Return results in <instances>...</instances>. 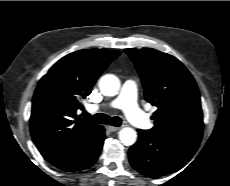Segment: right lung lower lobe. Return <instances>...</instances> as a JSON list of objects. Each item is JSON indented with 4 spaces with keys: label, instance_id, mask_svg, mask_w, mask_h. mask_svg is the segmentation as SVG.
<instances>
[{
    "label": "right lung lower lobe",
    "instance_id": "98d812e1",
    "mask_svg": "<svg viewBox=\"0 0 230 186\" xmlns=\"http://www.w3.org/2000/svg\"><path fill=\"white\" fill-rule=\"evenodd\" d=\"M104 139V128L101 126L96 134L72 157L63 163L56 165V167L63 171L72 172L83 170L92 166L101 152Z\"/></svg>",
    "mask_w": 230,
    "mask_h": 186
}]
</instances>
